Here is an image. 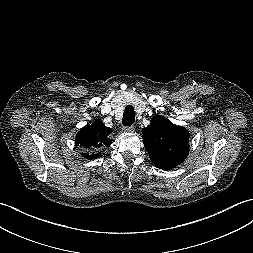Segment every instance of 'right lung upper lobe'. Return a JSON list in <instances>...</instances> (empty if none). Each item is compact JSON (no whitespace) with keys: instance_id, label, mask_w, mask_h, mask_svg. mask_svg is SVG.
<instances>
[{"instance_id":"obj_1","label":"right lung upper lobe","mask_w":253,"mask_h":253,"mask_svg":"<svg viewBox=\"0 0 253 253\" xmlns=\"http://www.w3.org/2000/svg\"><path fill=\"white\" fill-rule=\"evenodd\" d=\"M112 133V129L106 127L99 119L93 122L91 125L83 127L76 135L75 144L81 146L89 153H83L87 159H96L100 156L98 153L104 147H108L112 144V140L109 135Z\"/></svg>"}]
</instances>
